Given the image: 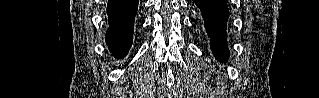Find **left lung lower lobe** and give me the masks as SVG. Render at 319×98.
Wrapping results in <instances>:
<instances>
[{"label": "left lung lower lobe", "instance_id": "0a47b994", "mask_svg": "<svg viewBox=\"0 0 319 98\" xmlns=\"http://www.w3.org/2000/svg\"><path fill=\"white\" fill-rule=\"evenodd\" d=\"M227 0H195L202 25L210 38V47L221 63L229 57L227 49V22L229 9Z\"/></svg>", "mask_w": 319, "mask_h": 98}]
</instances>
